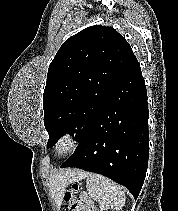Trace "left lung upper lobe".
<instances>
[{"mask_svg":"<svg viewBox=\"0 0 178 211\" xmlns=\"http://www.w3.org/2000/svg\"><path fill=\"white\" fill-rule=\"evenodd\" d=\"M133 57L130 45L112 27L91 26L63 43L50 63L43 93L47 148L66 133L79 143L85 139Z\"/></svg>","mask_w":178,"mask_h":211,"instance_id":"5c2ea615","label":"left lung upper lobe"}]
</instances>
